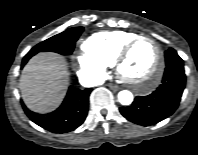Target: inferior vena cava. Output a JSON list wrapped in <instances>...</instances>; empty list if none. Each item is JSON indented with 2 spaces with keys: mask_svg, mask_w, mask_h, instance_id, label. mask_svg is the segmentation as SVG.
<instances>
[{
  "mask_svg": "<svg viewBox=\"0 0 198 155\" xmlns=\"http://www.w3.org/2000/svg\"><path fill=\"white\" fill-rule=\"evenodd\" d=\"M81 81L88 87L101 85L104 82L102 78H99L96 76H91V75L83 77V79Z\"/></svg>",
  "mask_w": 198,
  "mask_h": 155,
  "instance_id": "1",
  "label": "inferior vena cava"
}]
</instances>
